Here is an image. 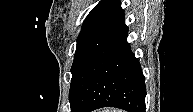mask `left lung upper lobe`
<instances>
[{
	"instance_id": "5c2ea615",
	"label": "left lung upper lobe",
	"mask_w": 193,
	"mask_h": 112,
	"mask_svg": "<svg viewBox=\"0 0 193 112\" xmlns=\"http://www.w3.org/2000/svg\"><path fill=\"white\" fill-rule=\"evenodd\" d=\"M121 12L118 0H101L86 17L77 39L76 53L71 70L84 47Z\"/></svg>"
}]
</instances>
